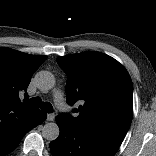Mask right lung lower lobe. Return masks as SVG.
<instances>
[{
    "label": "right lung lower lobe",
    "instance_id": "right-lung-lower-lobe-1",
    "mask_svg": "<svg viewBox=\"0 0 156 156\" xmlns=\"http://www.w3.org/2000/svg\"><path fill=\"white\" fill-rule=\"evenodd\" d=\"M47 115L37 110L28 120L11 121L0 127V156L13 151L20 143L22 137L32 128L41 124Z\"/></svg>",
    "mask_w": 156,
    "mask_h": 156
}]
</instances>
